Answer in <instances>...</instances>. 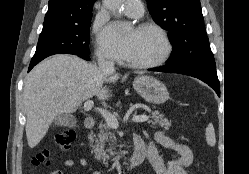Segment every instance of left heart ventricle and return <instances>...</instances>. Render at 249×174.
Listing matches in <instances>:
<instances>
[{
  "mask_svg": "<svg viewBox=\"0 0 249 174\" xmlns=\"http://www.w3.org/2000/svg\"><path fill=\"white\" fill-rule=\"evenodd\" d=\"M130 42L127 60L131 62H150L160 58L165 51L161 36L153 30L130 31L126 35Z\"/></svg>",
  "mask_w": 249,
  "mask_h": 174,
  "instance_id": "obj_1",
  "label": "left heart ventricle"
}]
</instances>
